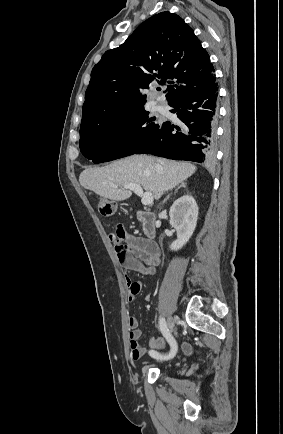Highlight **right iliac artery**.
Instances as JSON below:
<instances>
[{"label": "right iliac artery", "instance_id": "right-iliac-artery-1", "mask_svg": "<svg viewBox=\"0 0 283 434\" xmlns=\"http://www.w3.org/2000/svg\"><path fill=\"white\" fill-rule=\"evenodd\" d=\"M159 327H160V331L162 332L163 336L167 339V341L170 344L171 350L168 354H160L158 352L155 351H150L149 355L157 360H168L170 358H173L176 354V350H177V345H176V341L174 340V338L171 336L168 327L166 325V321L164 318H160L159 320Z\"/></svg>", "mask_w": 283, "mask_h": 434}]
</instances>
